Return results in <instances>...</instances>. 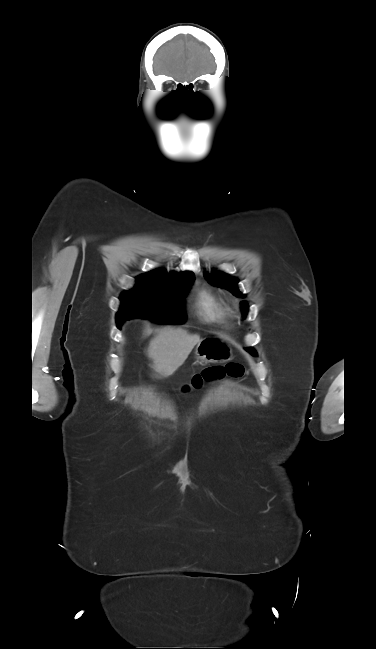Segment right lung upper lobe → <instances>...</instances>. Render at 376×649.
I'll return each mask as SVG.
<instances>
[{
  "label": "right lung upper lobe",
  "instance_id": "right-lung-upper-lobe-1",
  "mask_svg": "<svg viewBox=\"0 0 376 649\" xmlns=\"http://www.w3.org/2000/svg\"><path fill=\"white\" fill-rule=\"evenodd\" d=\"M185 274H193L192 272H183V273H167L164 269H156L153 271H150L147 274H143L142 276H147V277H167V276H179V275H185Z\"/></svg>",
  "mask_w": 376,
  "mask_h": 649
}]
</instances>
